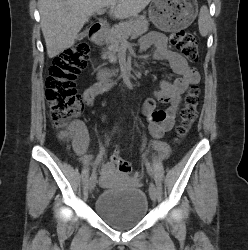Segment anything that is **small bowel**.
I'll return each mask as SVG.
<instances>
[{"mask_svg":"<svg viewBox=\"0 0 248 250\" xmlns=\"http://www.w3.org/2000/svg\"><path fill=\"white\" fill-rule=\"evenodd\" d=\"M153 49V57L159 61H165L169 64L171 70L178 74L179 77L173 81L162 80L160 87L154 93V97L146 100L142 105V113L146 117L149 125V131L154 138L153 147L158 151L162 159L169 157L170 150L166 143L160 139L163 135L170 131L175 123V118L182 100V94L193 84H197L200 80L198 71L191 67L187 61L179 53L168 47L167 37L159 32H149L144 35L139 44V50L145 51ZM101 70L98 75L104 74ZM112 83L106 79H97V81L89 86L83 93V101L87 105H92L95 98L107 91ZM164 105L163 108L158 105ZM70 130L73 136V148L85 163L98 166L101 163V156L92 157L86 155L89 136L86 126L82 121H74ZM117 173L115 167L111 163L103 164L101 167V182L108 183L110 177ZM132 181L138 180V175L131 176Z\"/></svg>","mask_w":248,"mask_h":250,"instance_id":"obj_1","label":"small bowel"}]
</instances>
